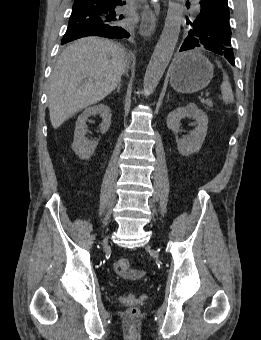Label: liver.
<instances>
[{
	"label": "liver",
	"instance_id": "6515ba94",
	"mask_svg": "<svg viewBox=\"0 0 261 340\" xmlns=\"http://www.w3.org/2000/svg\"><path fill=\"white\" fill-rule=\"evenodd\" d=\"M127 63L124 51L103 38L86 37L68 46L51 76L48 107L53 128L109 95Z\"/></svg>",
	"mask_w": 261,
	"mask_h": 340
}]
</instances>
